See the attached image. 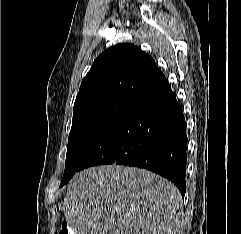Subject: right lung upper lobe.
Listing matches in <instances>:
<instances>
[{
    "label": "right lung upper lobe",
    "mask_w": 241,
    "mask_h": 234,
    "mask_svg": "<svg viewBox=\"0 0 241 234\" xmlns=\"http://www.w3.org/2000/svg\"><path fill=\"white\" fill-rule=\"evenodd\" d=\"M166 82L155 61L133 44L100 54L82 81L74 111L111 101L137 104Z\"/></svg>",
    "instance_id": "1"
}]
</instances>
